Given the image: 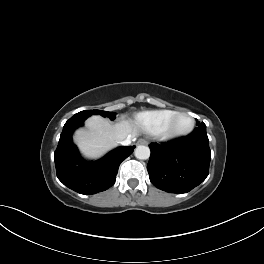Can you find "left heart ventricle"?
<instances>
[{"instance_id": "obj_1", "label": "left heart ventricle", "mask_w": 264, "mask_h": 264, "mask_svg": "<svg viewBox=\"0 0 264 264\" xmlns=\"http://www.w3.org/2000/svg\"><path fill=\"white\" fill-rule=\"evenodd\" d=\"M190 124L189 119L186 116H180L175 121V128L177 130L186 129Z\"/></svg>"}]
</instances>
